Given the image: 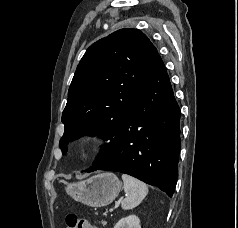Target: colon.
Wrapping results in <instances>:
<instances>
[{
	"label": "colon",
	"mask_w": 238,
	"mask_h": 228,
	"mask_svg": "<svg viewBox=\"0 0 238 228\" xmlns=\"http://www.w3.org/2000/svg\"><path fill=\"white\" fill-rule=\"evenodd\" d=\"M65 221L68 228H98L89 219L74 213L68 214Z\"/></svg>",
	"instance_id": "obj_1"
}]
</instances>
